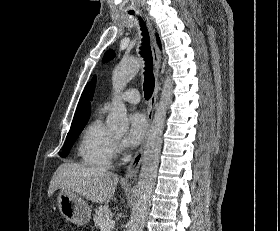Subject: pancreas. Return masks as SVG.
<instances>
[{"label": "pancreas", "mask_w": 280, "mask_h": 231, "mask_svg": "<svg viewBox=\"0 0 280 231\" xmlns=\"http://www.w3.org/2000/svg\"><path fill=\"white\" fill-rule=\"evenodd\" d=\"M112 215H114V213L109 205H99V207H96L93 217L96 227H101L102 223H104L106 219H111Z\"/></svg>", "instance_id": "1"}]
</instances>
